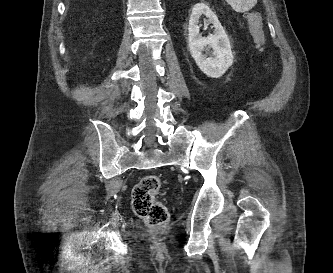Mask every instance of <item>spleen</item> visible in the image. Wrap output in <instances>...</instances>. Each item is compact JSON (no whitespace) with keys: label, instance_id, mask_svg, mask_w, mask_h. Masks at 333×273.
<instances>
[{"label":"spleen","instance_id":"spleen-1","mask_svg":"<svg viewBox=\"0 0 333 273\" xmlns=\"http://www.w3.org/2000/svg\"><path fill=\"white\" fill-rule=\"evenodd\" d=\"M258 0H226V2L236 11V12H246L251 10L257 3Z\"/></svg>","mask_w":333,"mask_h":273}]
</instances>
